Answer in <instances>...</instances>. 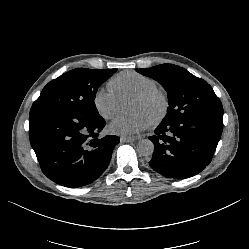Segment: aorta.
Instances as JSON below:
<instances>
[{
  "mask_svg": "<svg viewBox=\"0 0 249 249\" xmlns=\"http://www.w3.org/2000/svg\"><path fill=\"white\" fill-rule=\"evenodd\" d=\"M154 151V144L149 139H141L137 144V152L141 156H150Z\"/></svg>",
  "mask_w": 249,
  "mask_h": 249,
  "instance_id": "1",
  "label": "aorta"
}]
</instances>
